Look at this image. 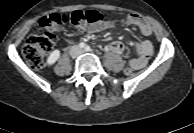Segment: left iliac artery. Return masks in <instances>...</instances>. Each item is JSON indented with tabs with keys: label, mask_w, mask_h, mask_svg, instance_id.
Returning <instances> with one entry per match:
<instances>
[{
	"label": "left iliac artery",
	"mask_w": 194,
	"mask_h": 133,
	"mask_svg": "<svg viewBox=\"0 0 194 133\" xmlns=\"http://www.w3.org/2000/svg\"><path fill=\"white\" fill-rule=\"evenodd\" d=\"M85 50H86V51H91L90 46H86Z\"/></svg>",
	"instance_id": "left-iliac-artery-1"
}]
</instances>
